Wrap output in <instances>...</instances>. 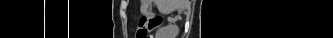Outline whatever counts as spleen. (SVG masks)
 I'll return each mask as SVG.
<instances>
[{"instance_id": "obj_1", "label": "spleen", "mask_w": 333, "mask_h": 38, "mask_svg": "<svg viewBox=\"0 0 333 38\" xmlns=\"http://www.w3.org/2000/svg\"><path fill=\"white\" fill-rule=\"evenodd\" d=\"M168 10V6H165L164 11L166 12Z\"/></svg>"}]
</instances>
